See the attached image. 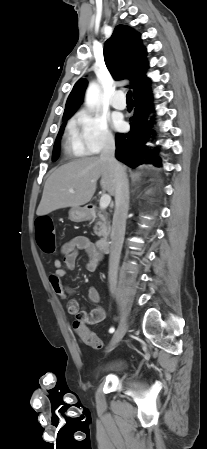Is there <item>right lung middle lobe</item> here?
Here are the masks:
<instances>
[{"label": "right lung middle lobe", "mask_w": 207, "mask_h": 449, "mask_svg": "<svg viewBox=\"0 0 207 449\" xmlns=\"http://www.w3.org/2000/svg\"><path fill=\"white\" fill-rule=\"evenodd\" d=\"M68 119H69V118H68ZM68 119H64V120H63L64 123H63L62 126L60 127L59 133H58L57 138H56V140H55V144H54V148H53V154H52V161H56V160L58 159V156H59V144H60V139H61V136H62L64 127H65L66 121H67Z\"/></svg>", "instance_id": "1"}]
</instances>
